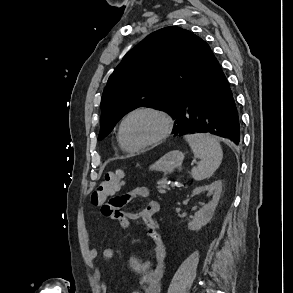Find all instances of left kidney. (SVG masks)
<instances>
[{"mask_svg": "<svg viewBox=\"0 0 293 293\" xmlns=\"http://www.w3.org/2000/svg\"><path fill=\"white\" fill-rule=\"evenodd\" d=\"M205 191H209L213 194L212 200L205 204L198 212L195 213L192 221L188 223L189 230H200L203 226L210 222L221 196L222 182L215 181L209 185L197 187L193 191V195H199L200 193Z\"/></svg>", "mask_w": 293, "mask_h": 293, "instance_id": "left-kidney-1", "label": "left kidney"}]
</instances>
